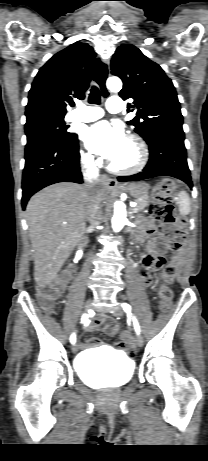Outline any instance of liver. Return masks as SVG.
<instances>
[{
  "label": "liver",
  "instance_id": "1",
  "mask_svg": "<svg viewBox=\"0 0 208 461\" xmlns=\"http://www.w3.org/2000/svg\"><path fill=\"white\" fill-rule=\"evenodd\" d=\"M100 202L105 188H98ZM85 185L57 183L36 193L26 208L34 254V280L43 287L57 275L86 229L89 213Z\"/></svg>",
  "mask_w": 208,
  "mask_h": 461
}]
</instances>
